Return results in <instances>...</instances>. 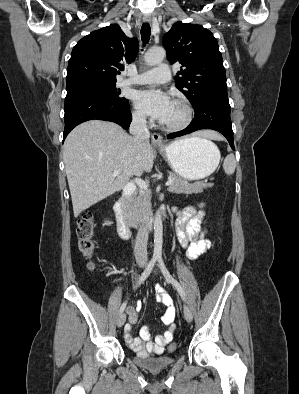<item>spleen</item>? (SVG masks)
Segmentation results:
<instances>
[{
  "label": "spleen",
  "mask_w": 299,
  "mask_h": 394,
  "mask_svg": "<svg viewBox=\"0 0 299 394\" xmlns=\"http://www.w3.org/2000/svg\"><path fill=\"white\" fill-rule=\"evenodd\" d=\"M236 160L234 154H228L223 162V169L227 175H232L235 172Z\"/></svg>",
  "instance_id": "spleen-1"
}]
</instances>
